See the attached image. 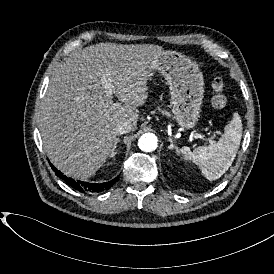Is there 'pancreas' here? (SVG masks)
Here are the masks:
<instances>
[{
  "label": "pancreas",
  "mask_w": 274,
  "mask_h": 274,
  "mask_svg": "<svg viewBox=\"0 0 274 274\" xmlns=\"http://www.w3.org/2000/svg\"><path fill=\"white\" fill-rule=\"evenodd\" d=\"M164 114H165V115H167V116H170V114H169V113H167V112H164Z\"/></svg>",
  "instance_id": "1"
}]
</instances>
